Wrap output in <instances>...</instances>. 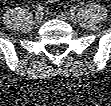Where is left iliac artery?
Wrapping results in <instances>:
<instances>
[{"label": "left iliac artery", "instance_id": "obj_1", "mask_svg": "<svg viewBox=\"0 0 111 106\" xmlns=\"http://www.w3.org/2000/svg\"><path fill=\"white\" fill-rule=\"evenodd\" d=\"M76 10H77L76 7H71V9H70L71 13H75Z\"/></svg>", "mask_w": 111, "mask_h": 106}]
</instances>
